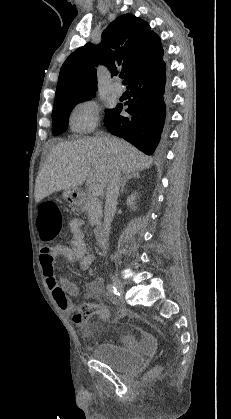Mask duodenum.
Listing matches in <instances>:
<instances>
[{
    "mask_svg": "<svg viewBox=\"0 0 231 419\" xmlns=\"http://www.w3.org/2000/svg\"><path fill=\"white\" fill-rule=\"evenodd\" d=\"M96 238L99 242H103V228L101 225H96L95 227Z\"/></svg>",
    "mask_w": 231,
    "mask_h": 419,
    "instance_id": "410a0bca",
    "label": "duodenum"
}]
</instances>
